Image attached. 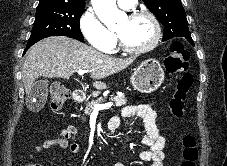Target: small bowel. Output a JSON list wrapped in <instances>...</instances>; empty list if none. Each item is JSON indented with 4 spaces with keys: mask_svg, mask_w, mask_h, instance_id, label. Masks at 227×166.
Returning a JSON list of instances; mask_svg holds the SVG:
<instances>
[{
    "mask_svg": "<svg viewBox=\"0 0 227 166\" xmlns=\"http://www.w3.org/2000/svg\"><path fill=\"white\" fill-rule=\"evenodd\" d=\"M120 116L126 119L133 117L142 119L145 126V135L142 138V143L147 147V149L139 153V158L143 161L150 162V166H163L165 139L159 134L157 128L156 111L148 104L129 105L122 109ZM111 120L115 122V128L119 126V116H115ZM76 133L77 131L74 126H68L62 130L56 138L44 141L38 145L30 155V158L34 159L38 152L52 146H57L61 150L68 149L73 155L79 154L81 150L79 144L70 143V140L76 136Z\"/></svg>",
    "mask_w": 227,
    "mask_h": 166,
    "instance_id": "1",
    "label": "small bowel"
}]
</instances>
